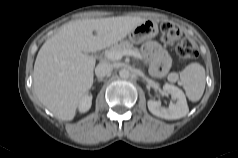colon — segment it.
<instances>
[{
    "label": "colon",
    "mask_w": 238,
    "mask_h": 158,
    "mask_svg": "<svg viewBox=\"0 0 238 158\" xmlns=\"http://www.w3.org/2000/svg\"><path fill=\"white\" fill-rule=\"evenodd\" d=\"M161 40L165 45L176 44V52L183 59H193L198 52L193 43L182 36L180 30L170 22H163L160 25Z\"/></svg>",
    "instance_id": "obj_1"
}]
</instances>
